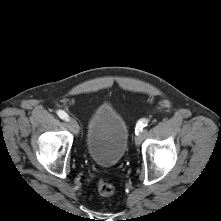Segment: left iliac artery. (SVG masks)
I'll use <instances>...</instances> for the list:
<instances>
[{"instance_id": "44dca946", "label": "left iliac artery", "mask_w": 221, "mask_h": 221, "mask_svg": "<svg viewBox=\"0 0 221 221\" xmlns=\"http://www.w3.org/2000/svg\"><path fill=\"white\" fill-rule=\"evenodd\" d=\"M148 124V120L147 119H142L140 120L137 125H136V128H135V132L136 134H138L140 131H142L143 127H146Z\"/></svg>"}]
</instances>
